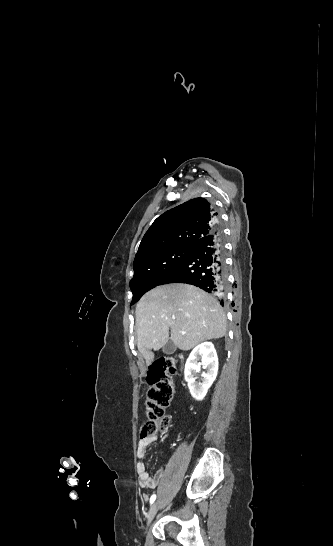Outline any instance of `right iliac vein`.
Segmentation results:
<instances>
[{
	"label": "right iliac vein",
	"mask_w": 333,
	"mask_h": 546,
	"mask_svg": "<svg viewBox=\"0 0 333 546\" xmlns=\"http://www.w3.org/2000/svg\"><path fill=\"white\" fill-rule=\"evenodd\" d=\"M158 501H156L155 503H153V505L151 506L149 512H148V515H147V526L150 524V522L152 521V519L154 518V516L156 515L157 511H158Z\"/></svg>",
	"instance_id": "right-iliac-vein-1"
}]
</instances>
